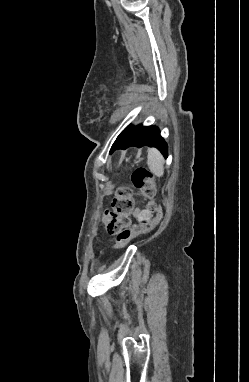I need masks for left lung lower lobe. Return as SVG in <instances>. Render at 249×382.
Segmentation results:
<instances>
[{
    "instance_id": "obj_1",
    "label": "left lung lower lobe",
    "mask_w": 249,
    "mask_h": 382,
    "mask_svg": "<svg viewBox=\"0 0 249 382\" xmlns=\"http://www.w3.org/2000/svg\"><path fill=\"white\" fill-rule=\"evenodd\" d=\"M130 146L139 148L143 146L156 147L164 157H167V144L160 136L157 127L138 125L122 132L114 142L111 153L116 149H126Z\"/></svg>"
}]
</instances>
